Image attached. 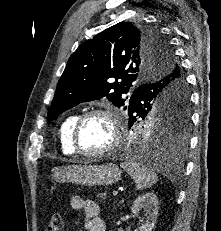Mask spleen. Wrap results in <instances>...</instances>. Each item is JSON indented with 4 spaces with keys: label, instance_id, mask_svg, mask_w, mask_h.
<instances>
[{
    "label": "spleen",
    "instance_id": "spleen-1",
    "mask_svg": "<svg viewBox=\"0 0 221 231\" xmlns=\"http://www.w3.org/2000/svg\"><path fill=\"white\" fill-rule=\"evenodd\" d=\"M120 166L133 178L138 190L149 188L158 181V176L152 169L137 161L127 160Z\"/></svg>",
    "mask_w": 221,
    "mask_h": 231
}]
</instances>
